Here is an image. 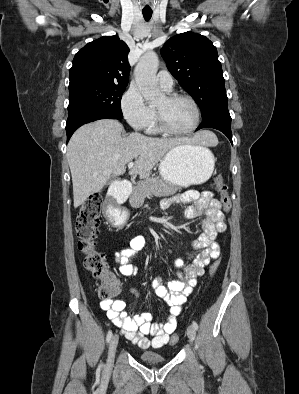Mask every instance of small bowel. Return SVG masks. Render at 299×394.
<instances>
[{"instance_id": "c3829d8e", "label": "small bowel", "mask_w": 299, "mask_h": 394, "mask_svg": "<svg viewBox=\"0 0 299 394\" xmlns=\"http://www.w3.org/2000/svg\"><path fill=\"white\" fill-rule=\"evenodd\" d=\"M188 204L183 211L187 219L203 216L202 233L191 242V247L199 253L190 264L184 258H177L174 267L177 271L176 280H164L160 276L153 278L151 286L156 296L162 299L169 308V313L162 323H154L149 312L131 316L125 311L126 303L122 300L102 301L101 308L106 311L112 323L121 328L125 336L141 349H160L165 346L174 333L178 316L182 312V305L191 294L197 283V278L204 274V267L220 256L217 236L226 231L225 214L222 205L210 191H185L162 202L163 208L172 205ZM146 238L143 235L133 237L126 247L114 254L119 272L128 276L136 272L132 261L144 248ZM135 298L139 292L135 288L129 290ZM151 335L152 338L147 336Z\"/></svg>"}]
</instances>
